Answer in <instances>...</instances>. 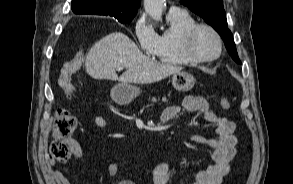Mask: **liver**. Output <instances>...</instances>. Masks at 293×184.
I'll return each mask as SVG.
<instances>
[{
    "label": "liver",
    "instance_id": "liver-1",
    "mask_svg": "<svg viewBox=\"0 0 293 184\" xmlns=\"http://www.w3.org/2000/svg\"><path fill=\"white\" fill-rule=\"evenodd\" d=\"M84 66L94 79L144 84L160 81L182 70L180 66L160 63L145 56L121 32L110 33L96 42L87 53ZM118 67L126 68L120 77L116 73Z\"/></svg>",
    "mask_w": 293,
    "mask_h": 184
}]
</instances>
